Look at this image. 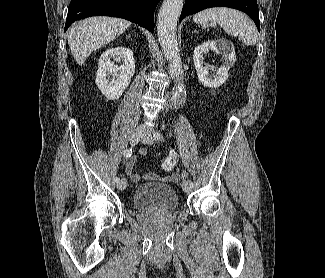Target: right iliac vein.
Returning <instances> with one entry per match:
<instances>
[{
	"label": "right iliac vein",
	"mask_w": 325,
	"mask_h": 278,
	"mask_svg": "<svg viewBox=\"0 0 325 278\" xmlns=\"http://www.w3.org/2000/svg\"><path fill=\"white\" fill-rule=\"evenodd\" d=\"M143 134H144V130L142 128L136 129L131 135L130 143L132 145L137 144L141 139V137L143 136ZM126 187H127V180L125 178H122L118 183V189L124 190L126 189Z\"/></svg>",
	"instance_id": "obj_1"
}]
</instances>
